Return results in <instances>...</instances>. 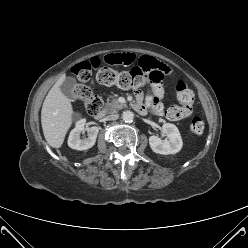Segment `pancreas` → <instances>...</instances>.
Instances as JSON below:
<instances>
[{
    "label": "pancreas",
    "instance_id": "cf45deb5",
    "mask_svg": "<svg viewBox=\"0 0 248 248\" xmlns=\"http://www.w3.org/2000/svg\"><path fill=\"white\" fill-rule=\"evenodd\" d=\"M125 104L119 103L116 99H113L111 102H107L104 111L105 112H117L121 108L125 107Z\"/></svg>",
    "mask_w": 248,
    "mask_h": 248
}]
</instances>
